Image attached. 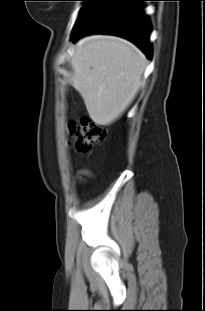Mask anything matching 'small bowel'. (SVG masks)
Instances as JSON below:
<instances>
[{"instance_id":"c3829d8e","label":"small bowel","mask_w":205,"mask_h":311,"mask_svg":"<svg viewBox=\"0 0 205 311\" xmlns=\"http://www.w3.org/2000/svg\"><path fill=\"white\" fill-rule=\"evenodd\" d=\"M92 176H93L92 172L89 171L88 169H81L78 173L77 180L82 182L85 180V178H89Z\"/></svg>"}]
</instances>
